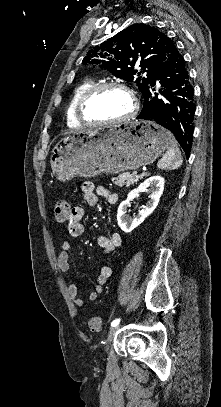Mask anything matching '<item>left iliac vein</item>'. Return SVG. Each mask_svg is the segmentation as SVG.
<instances>
[{
  "label": "left iliac vein",
  "mask_w": 221,
  "mask_h": 407,
  "mask_svg": "<svg viewBox=\"0 0 221 407\" xmlns=\"http://www.w3.org/2000/svg\"><path fill=\"white\" fill-rule=\"evenodd\" d=\"M120 327H121V325H116V326L110 328V330L108 332V336H107L106 346H105V351L106 352L109 349V344L113 340L115 333L117 332L118 329H120Z\"/></svg>",
  "instance_id": "1"
}]
</instances>
